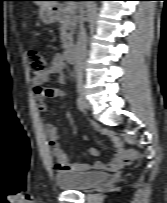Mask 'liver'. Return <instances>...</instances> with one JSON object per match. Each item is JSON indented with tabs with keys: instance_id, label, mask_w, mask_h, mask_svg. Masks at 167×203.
I'll return each mask as SVG.
<instances>
[{
	"instance_id": "6515ba94",
	"label": "liver",
	"mask_w": 167,
	"mask_h": 203,
	"mask_svg": "<svg viewBox=\"0 0 167 203\" xmlns=\"http://www.w3.org/2000/svg\"><path fill=\"white\" fill-rule=\"evenodd\" d=\"M36 4L39 5L42 9H52V7L56 5V3L52 1L37 2Z\"/></svg>"
}]
</instances>
